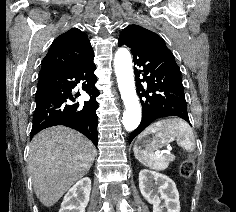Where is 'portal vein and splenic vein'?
Segmentation results:
<instances>
[{
    "label": "portal vein and splenic vein",
    "instance_id": "obj_1",
    "mask_svg": "<svg viewBox=\"0 0 236 212\" xmlns=\"http://www.w3.org/2000/svg\"><path fill=\"white\" fill-rule=\"evenodd\" d=\"M171 148H169L167 151H163V152H161V153H167V154H169L170 153V150Z\"/></svg>",
    "mask_w": 236,
    "mask_h": 212
}]
</instances>
